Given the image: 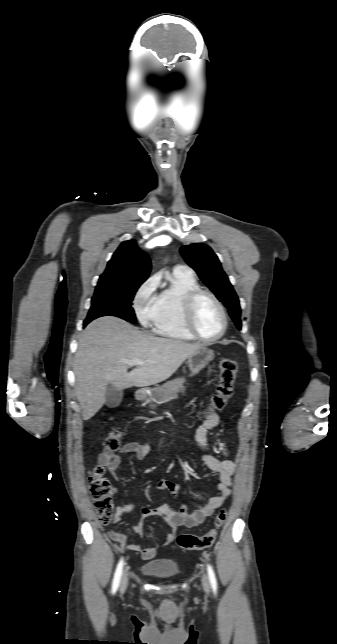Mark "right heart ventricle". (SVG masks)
I'll return each instance as SVG.
<instances>
[{"label":"right heart ventricle","instance_id":"e07e8e85","mask_svg":"<svg viewBox=\"0 0 337 644\" xmlns=\"http://www.w3.org/2000/svg\"><path fill=\"white\" fill-rule=\"evenodd\" d=\"M199 287L192 272L173 271L170 284L157 296L156 314L152 321L156 334L178 341L194 340L184 326L182 309L185 296Z\"/></svg>","mask_w":337,"mask_h":644}]
</instances>
